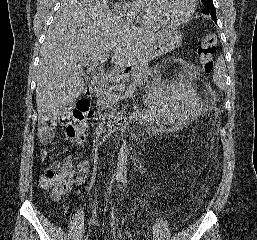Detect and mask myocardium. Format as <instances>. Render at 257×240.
<instances>
[{"label":"myocardium","mask_w":257,"mask_h":240,"mask_svg":"<svg viewBox=\"0 0 257 240\" xmlns=\"http://www.w3.org/2000/svg\"><path fill=\"white\" fill-rule=\"evenodd\" d=\"M147 1V7L149 10V13L151 16L159 22L161 25H167V26H180L186 23L190 20V18L193 16L195 10H196V0H189V8L186 12V14L175 20L167 19L164 16L160 14L156 7V0H146Z\"/></svg>","instance_id":"obj_1"}]
</instances>
